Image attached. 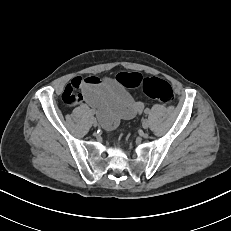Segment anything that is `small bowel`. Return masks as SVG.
<instances>
[{
    "label": "small bowel",
    "mask_w": 231,
    "mask_h": 231,
    "mask_svg": "<svg viewBox=\"0 0 231 231\" xmlns=\"http://www.w3.org/2000/svg\"><path fill=\"white\" fill-rule=\"evenodd\" d=\"M62 97L69 106L87 103L108 130L114 129L120 120L140 114L144 108L141 101L135 100L124 87L107 77L76 76L65 85Z\"/></svg>",
    "instance_id": "1"
}]
</instances>
